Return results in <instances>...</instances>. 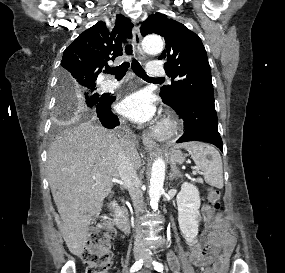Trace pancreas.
I'll list each match as a JSON object with an SVG mask.
<instances>
[{
    "label": "pancreas",
    "mask_w": 285,
    "mask_h": 273,
    "mask_svg": "<svg viewBox=\"0 0 285 273\" xmlns=\"http://www.w3.org/2000/svg\"><path fill=\"white\" fill-rule=\"evenodd\" d=\"M196 182H197V183H203V180H202L201 178H198V179L196 180Z\"/></svg>",
    "instance_id": "obj_1"
}]
</instances>
